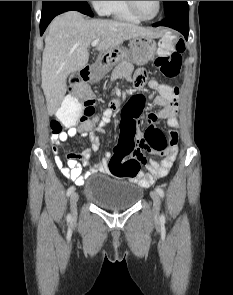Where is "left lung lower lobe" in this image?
<instances>
[{"label":"left lung lower lobe","mask_w":233,"mask_h":295,"mask_svg":"<svg viewBox=\"0 0 233 295\" xmlns=\"http://www.w3.org/2000/svg\"><path fill=\"white\" fill-rule=\"evenodd\" d=\"M189 7L180 9L178 12H175L171 15L166 16V18L158 23L153 24L154 27L157 26H166L181 32L185 39H188L189 34Z\"/></svg>","instance_id":"obj_1"}]
</instances>
